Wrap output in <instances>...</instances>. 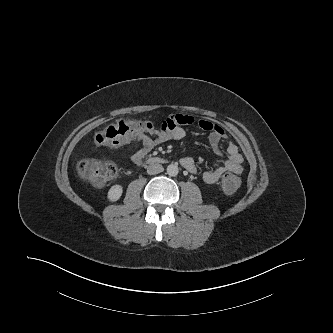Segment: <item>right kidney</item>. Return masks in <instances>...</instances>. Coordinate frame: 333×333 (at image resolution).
<instances>
[{"instance_id":"right-kidney-1","label":"right kidney","mask_w":333,"mask_h":333,"mask_svg":"<svg viewBox=\"0 0 333 333\" xmlns=\"http://www.w3.org/2000/svg\"><path fill=\"white\" fill-rule=\"evenodd\" d=\"M122 192H123L122 186L116 184L109 189L107 197L111 202H115L120 199Z\"/></svg>"}]
</instances>
